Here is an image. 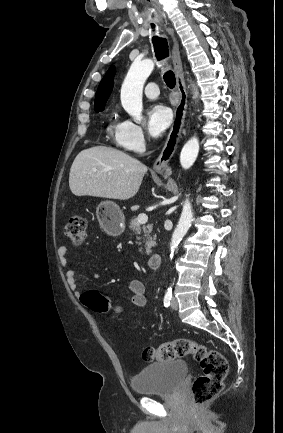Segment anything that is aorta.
<instances>
[{"label":"aorta","mask_w":283,"mask_h":433,"mask_svg":"<svg viewBox=\"0 0 283 433\" xmlns=\"http://www.w3.org/2000/svg\"><path fill=\"white\" fill-rule=\"evenodd\" d=\"M154 69L151 59L135 61L132 63L121 87V103L125 111L138 123L142 120V93L145 81ZM198 92L194 88V97ZM199 152V140L197 137L190 138L183 146L180 154L182 168L189 169L195 162ZM192 209L189 199L183 204L181 217L175 228L170 243V258H173L182 238L186 235L192 222Z\"/></svg>","instance_id":"obj_1"}]
</instances>
